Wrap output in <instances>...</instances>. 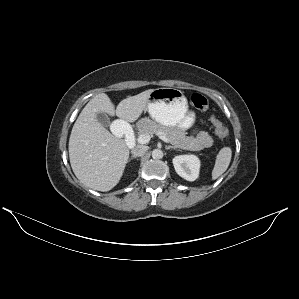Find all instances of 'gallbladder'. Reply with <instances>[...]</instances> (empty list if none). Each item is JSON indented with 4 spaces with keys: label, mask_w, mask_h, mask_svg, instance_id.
Instances as JSON below:
<instances>
[{
    "label": "gallbladder",
    "mask_w": 299,
    "mask_h": 299,
    "mask_svg": "<svg viewBox=\"0 0 299 299\" xmlns=\"http://www.w3.org/2000/svg\"><path fill=\"white\" fill-rule=\"evenodd\" d=\"M96 119L102 126L109 127L111 125L108 116L104 113H97Z\"/></svg>",
    "instance_id": "1"
}]
</instances>
